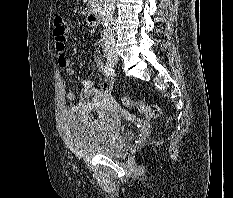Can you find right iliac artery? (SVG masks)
Wrapping results in <instances>:
<instances>
[{
    "label": "right iliac artery",
    "mask_w": 233,
    "mask_h": 198,
    "mask_svg": "<svg viewBox=\"0 0 233 198\" xmlns=\"http://www.w3.org/2000/svg\"><path fill=\"white\" fill-rule=\"evenodd\" d=\"M104 72L107 74V75H112L114 73V69H113V66L111 63L107 62L105 64V69H104Z\"/></svg>",
    "instance_id": "1"
}]
</instances>
